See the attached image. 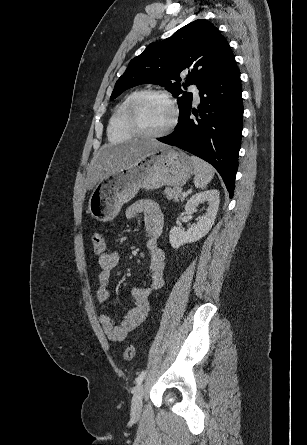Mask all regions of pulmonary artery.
Segmentation results:
<instances>
[{
  "mask_svg": "<svg viewBox=\"0 0 307 445\" xmlns=\"http://www.w3.org/2000/svg\"><path fill=\"white\" fill-rule=\"evenodd\" d=\"M194 100H195L196 102L199 101V95H198V91H197V90L194 91Z\"/></svg>",
  "mask_w": 307,
  "mask_h": 445,
  "instance_id": "pulmonary-artery-1",
  "label": "pulmonary artery"
}]
</instances>
